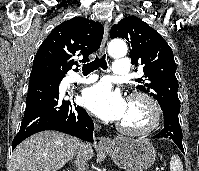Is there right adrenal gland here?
Segmentation results:
<instances>
[{"mask_svg": "<svg viewBox=\"0 0 199 171\" xmlns=\"http://www.w3.org/2000/svg\"><path fill=\"white\" fill-rule=\"evenodd\" d=\"M68 171H72V170H71V168H69V170H68Z\"/></svg>", "mask_w": 199, "mask_h": 171, "instance_id": "right-adrenal-gland-1", "label": "right adrenal gland"}]
</instances>
